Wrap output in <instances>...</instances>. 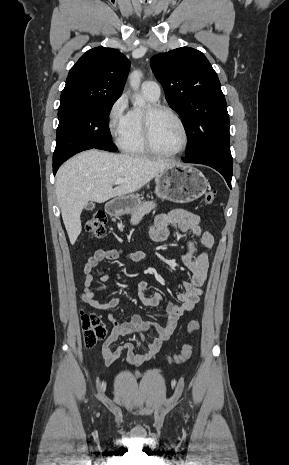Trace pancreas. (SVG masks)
<instances>
[{"label":"pancreas","instance_id":"cf45deb5","mask_svg":"<svg viewBox=\"0 0 289 465\" xmlns=\"http://www.w3.org/2000/svg\"><path fill=\"white\" fill-rule=\"evenodd\" d=\"M156 207L153 201H147L141 204L137 209L132 212L130 223L132 225L138 224L145 214H148Z\"/></svg>","mask_w":289,"mask_h":465}]
</instances>
